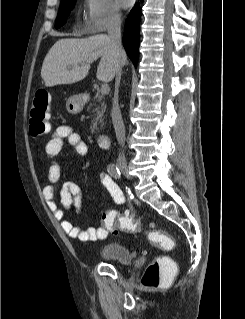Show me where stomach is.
<instances>
[{
    "instance_id": "1",
    "label": "stomach",
    "mask_w": 245,
    "mask_h": 319,
    "mask_svg": "<svg viewBox=\"0 0 245 319\" xmlns=\"http://www.w3.org/2000/svg\"><path fill=\"white\" fill-rule=\"evenodd\" d=\"M84 100L81 95H72L66 102V109L70 114H78L83 110Z\"/></svg>"
}]
</instances>
